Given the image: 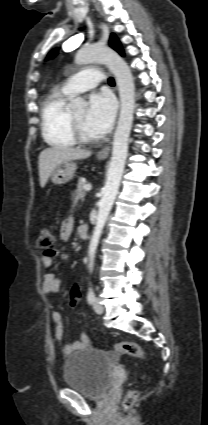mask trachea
<instances>
[{
  "label": "trachea",
  "mask_w": 208,
  "mask_h": 425,
  "mask_svg": "<svg viewBox=\"0 0 208 425\" xmlns=\"http://www.w3.org/2000/svg\"><path fill=\"white\" fill-rule=\"evenodd\" d=\"M108 83H109L110 85H114V84H115V81H114V79H113L112 77H110V78L108 79Z\"/></svg>",
  "instance_id": "trachea-1"
}]
</instances>
